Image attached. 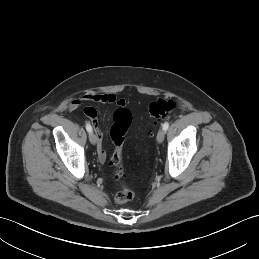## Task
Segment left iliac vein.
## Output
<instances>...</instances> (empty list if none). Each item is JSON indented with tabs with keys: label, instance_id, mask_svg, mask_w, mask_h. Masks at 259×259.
Wrapping results in <instances>:
<instances>
[{
	"label": "left iliac vein",
	"instance_id": "1",
	"mask_svg": "<svg viewBox=\"0 0 259 259\" xmlns=\"http://www.w3.org/2000/svg\"><path fill=\"white\" fill-rule=\"evenodd\" d=\"M165 138V131L163 129H160L157 133V142L162 143Z\"/></svg>",
	"mask_w": 259,
	"mask_h": 259
}]
</instances>
